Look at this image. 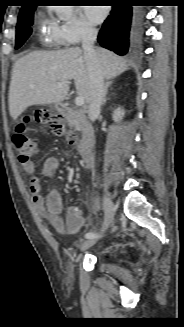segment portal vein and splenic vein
<instances>
[{
    "label": "portal vein and splenic vein",
    "instance_id": "portal-vein-and-splenic-vein-1",
    "mask_svg": "<svg viewBox=\"0 0 184 327\" xmlns=\"http://www.w3.org/2000/svg\"><path fill=\"white\" fill-rule=\"evenodd\" d=\"M57 87H61V83L57 84ZM75 104L78 107H81L84 105V98L82 96H77L75 99Z\"/></svg>",
    "mask_w": 184,
    "mask_h": 327
}]
</instances>
